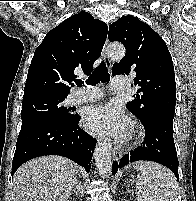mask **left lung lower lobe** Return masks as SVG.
Instances as JSON below:
<instances>
[{
    "mask_svg": "<svg viewBox=\"0 0 196 201\" xmlns=\"http://www.w3.org/2000/svg\"><path fill=\"white\" fill-rule=\"evenodd\" d=\"M145 127V138L142 146L125 155L120 162H113L112 174L118 168L138 160H150L163 164L178 177V158L173 139V120L154 118Z\"/></svg>",
    "mask_w": 196,
    "mask_h": 201,
    "instance_id": "1",
    "label": "left lung lower lobe"
}]
</instances>
